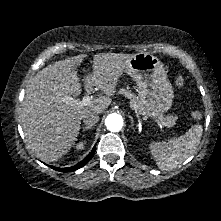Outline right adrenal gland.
Wrapping results in <instances>:
<instances>
[{
    "mask_svg": "<svg viewBox=\"0 0 221 221\" xmlns=\"http://www.w3.org/2000/svg\"><path fill=\"white\" fill-rule=\"evenodd\" d=\"M89 129H93V127L92 126H85V127H83L82 131L84 132V131L89 130Z\"/></svg>",
    "mask_w": 221,
    "mask_h": 221,
    "instance_id": "2a0ac1e0",
    "label": "right adrenal gland"
}]
</instances>
